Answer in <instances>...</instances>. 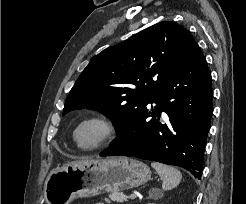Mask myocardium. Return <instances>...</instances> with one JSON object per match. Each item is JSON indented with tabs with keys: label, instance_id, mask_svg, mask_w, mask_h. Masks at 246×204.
Returning <instances> with one entry per match:
<instances>
[{
	"label": "myocardium",
	"instance_id": "myocardium-1",
	"mask_svg": "<svg viewBox=\"0 0 246 204\" xmlns=\"http://www.w3.org/2000/svg\"><path fill=\"white\" fill-rule=\"evenodd\" d=\"M88 124H95L100 128V134L98 138L91 144L84 145L78 139L79 130ZM117 124L116 122L102 114H93L82 118L74 127L72 131V140L74 144L81 150L92 151L100 149L108 144H110L117 134Z\"/></svg>",
	"mask_w": 246,
	"mask_h": 204
}]
</instances>
